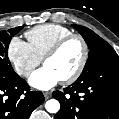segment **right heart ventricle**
<instances>
[{
  "label": "right heart ventricle",
  "mask_w": 119,
  "mask_h": 119,
  "mask_svg": "<svg viewBox=\"0 0 119 119\" xmlns=\"http://www.w3.org/2000/svg\"><path fill=\"white\" fill-rule=\"evenodd\" d=\"M73 34L69 28L59 24H44L26 33L33 52L42 60L47 51L62 38Z\"/></svg>",
  "instance_id": "1"
}]
</instances>
